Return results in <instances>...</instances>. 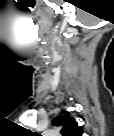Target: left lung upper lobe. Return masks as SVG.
I'll return each instance as SVG.
<instances>
[{"label": "left lung upper lobe", "instance_id": "5c2ea615", "mask_svg": "<svg viewBox=\"0 0 114 136\" xmlns=\"http://www.w3.org/2000/svg\"><path fill=\"white\" fill-rule=\"evenodd\" d=\"M53 125H63L61 133L63 136H82V129L76 120L68 115H62L53 120Z\"/></svg>", "mask_w": 114, "mask_h": 136}]
</instances>
